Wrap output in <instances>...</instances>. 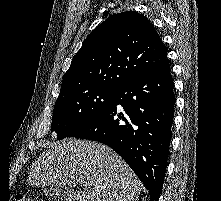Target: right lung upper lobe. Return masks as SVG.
I'll return each instance as SVG.
<instances>
[{"instance_id": "obj_1", "label": "right lung upper lobe", "mask_w": 221, "mask_h": 201, "mask_svg": "<svg viewBox=\"0 0 221 201\" xmlns=\"http://www.w3.org/2000/svg\"><path fill=\"white\" fill-rule=\"evenodd\" d=\"M166 60L165 47L147 17L132 11L114 14L85 39L63 76L58 98L92 88L116 90Z\"/></svg>"}]
</instances>
